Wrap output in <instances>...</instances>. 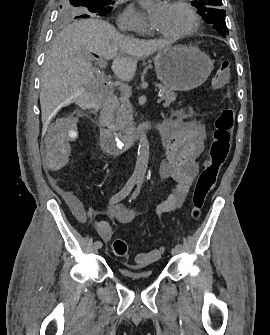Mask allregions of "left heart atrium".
I'll return each instance as SVG.
<instances>
[{"label":"left heart atrium","mask_w":270,"mask_h":335,"mask_svg":"<svg viewBox=\"0 0 270 335\" xmlns=\"http://www.w3.org/2000/svg\"><path fill=\"white\" fill-rule=\"evenodd\" d=\"M142 6L148 13L151 27L156 32H167V26L173 8L167 4L144 0Z\"/></svg>","instance_id":"1"}]
</instances>
